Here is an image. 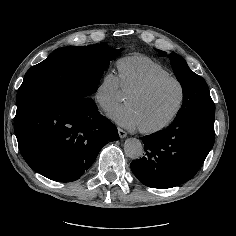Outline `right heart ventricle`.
Returning <instances> with one entry per match:
<instances>
[{
  "label": "right heart ventricle",
  "instance_id": "e07e8e85",
  "mask_svg": "<svg viewBox=\"0 0 236 236\" xmlns=\"http://www.w3.org/2000/svg\"><path fill=\"white\" fill-rule=\"evenodd\" d=\"M117 67L121 87L126 94L157 78L172 76V73L166 67L144 55L121 58L117 62Z\"/></svg>",
  "mask_w": 236,
  "mask_h": 236
}]
</instances>
